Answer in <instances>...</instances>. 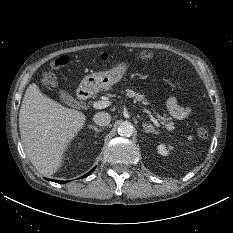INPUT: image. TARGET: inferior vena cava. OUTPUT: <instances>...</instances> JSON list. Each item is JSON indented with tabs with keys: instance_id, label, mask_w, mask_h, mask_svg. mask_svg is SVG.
Returning a JSON list of instances; mask_svg holds the SVG:
<instances>
[{
	"instance_id": "602c4592",
	"label": "inferior vena cava",
	"mask_w": 233,
	"mask_h": 233,
	"mask_svg": "<svg viewBox=\"0 0 233 233\" xmlns=\"http://www.w3.org/2000/svg\"><path fill=\"white\" fill-rule=\"evenodd\" d=\"M94 122L100 126H107L111 122V115L107 112H99L94 115Z\"/></svg>"
}]
</instances>
